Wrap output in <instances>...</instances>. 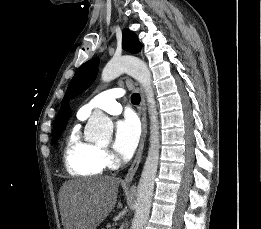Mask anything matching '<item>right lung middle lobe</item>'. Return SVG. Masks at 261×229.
Instances as JSON below:
<instances>
[{"instance_id": "obj_1", "label": "right lung middle lobe", "mask_w": 261, "mask_h": 229, "mask_svg": "<svg viewBox=\"0 0 261 229\" xmlns=\"http://www.w3.org/2000/svg\"><path fill=\"white\" fill-rule=\"evenodd\" d=\"M65 127V124H61V125H54L53 127V135H52V144H55L58 139L60 138L63 129Z\"/></svg>"}]
</instances>
